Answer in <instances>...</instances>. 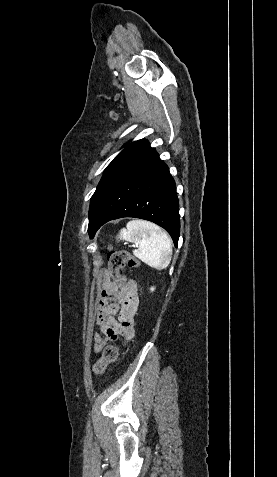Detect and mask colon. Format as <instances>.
Here are the masks:
<instances>
[{
    "instance_id": "1",
    "label": "colon",
    "mask_w": 277,
    "mask_h": 477,
    "mask_svg": "<svg viewBox=\"0 0 277 477\" xmlns=\"http://www.w3.org/2000/svg\"><path fill=\"white\" fill-rule=\"evenodd\" d=\"M107 262L110 276L115 281H127L128 277L123 275L121 271L127 266L136 268L139 262L129 253L120 250L108 248ZM118 358V348L115 345L106 346L103 350L102 357L94 364L93 371L95 374H101L106 367L115 362Z\"/></svg>"
}]
</instances>
